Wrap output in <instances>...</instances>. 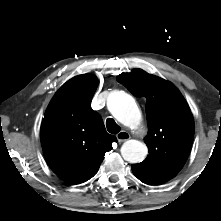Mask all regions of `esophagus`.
Wrapping results in <instances>:
<instances>
[{
  "label": "esophagus",
  "mask_w": 221,
  "mask_h": 221,
  "mask_svg": "<svg viewBox=\"0 0 221 221\" xmlns=\"http://www.w3.org/2000/svg\"><path fill=\"white\" fill-rule=\"evenodd\" d=\"M116 138L118 142H124L130 139V134L127 131H120L117 135Z\"/></svg>",
  "instance_id": "obj_1"
}]
</instances>
